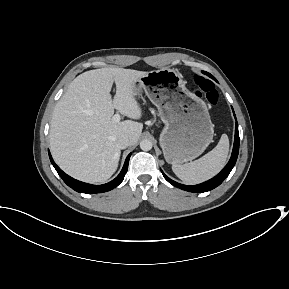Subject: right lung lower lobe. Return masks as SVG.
Returning a JSON list of instances; mask_svg holds the SVG:
<instances>
[{"label": "right lung lower lobe", "instance_id": "obj_1", "mask_svg": "<svg viewBox=\"0 0 289 289\" xmlns=\"http://www.w3.org/2000/svg\"><path fill=\"white\" fill-rule=\"evenodd\" d=\"M131 154H129L125 160L124 166L120 172V174L112 181L109 183L103 184V185H92V184H87L81 181H78L76 179H73L72 177L68 176L66 173H64L53 161L51 154L49 152V158L56 169L57 173L59 176L63 179V181L71 187L73 190L79 192V193H87V194H93V193H102V192H107L118 186L124 179V176L128 170V163H129V158Z\"/></svg>", "mask_w": 289, "mask_h": 289}]
</instances>
